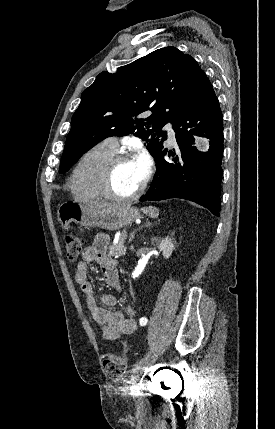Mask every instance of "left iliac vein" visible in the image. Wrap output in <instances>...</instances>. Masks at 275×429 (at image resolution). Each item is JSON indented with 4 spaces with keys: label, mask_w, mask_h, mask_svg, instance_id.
Segmentation results:
<instances>
[{
    "label": "left iliac vein",
    "mask_w": 275,
    "mask_h": 429,
    "mask_svg": "<svg viewBox=\"0 0 275 429\" xmlns=\"http://www.w3.org/2000/svg\"><path fill=\"white\" fill-rule=\"evenodd\" d=\"M154 349L150 350L138 363L135 371V377H139L145 371L148 363L154 355Z\"/></svg>",
    "instance_id": "1"
}]
</instances>
